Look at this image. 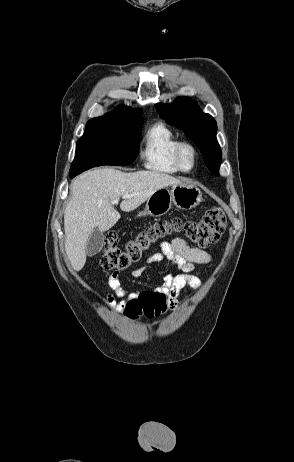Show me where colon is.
<instances>
[{"label": "colon", "instance_id": "colon-1", "mask_svg": "<svg viewBox=\"0 0 294 462\" xmlns=\"http://www.w3.org/2000/svg\"><path fill=\"white\" fill-rule=\"evenodd\" d=\"M227 227L226 216L219 207L209 208L198 221L156 222L127 242L124 248L118 246L116 233H109L100 254V265L105 270L124 271L141 261L144 254L173 229H184L190 240L199 247H207L219 240ZM168 308L163 295L146 290L129 299L124 309L130 318L158 317Z\"/></svg>", "mask_w": 294, "mask_h": 462}]
</instances>
